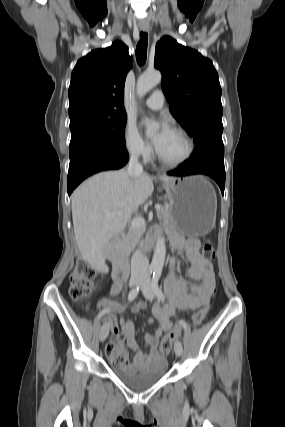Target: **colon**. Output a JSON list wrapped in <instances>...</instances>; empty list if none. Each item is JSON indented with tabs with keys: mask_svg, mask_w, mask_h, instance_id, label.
I'll use <instances>...</instances> for the list:
<instances>
[{
	"mask_svg": "<svg viewBox=\"0 0 285 427\" xmlns=\"http://www.w3.org/2000/svg\"><path fill=\"white\" fill-rule=\"evenodd\" d=\"M203 258L206 260H212L215 258L214 247L206 243L202 248ZM96 278V272L89 264L84 260H78L74 266V269L70 275L69 295L74 302H80L87 299L94 289V281ZM216 294L214 289L212 295ZM209 310V304H206L203 308L197 310L193 317L192 322L194 325H199L205 319ZM181 329L175 327L171 330L162 340L160 349L163 354H168L171 351L172 344L175 338L180 335ZM118 361H121V357H117Z\"/></svg>",
	"mask_w": 285,
	"mask_h": 427,
	"instance_id": "colon-1",
	"label": "colon"
}]
</instances>
